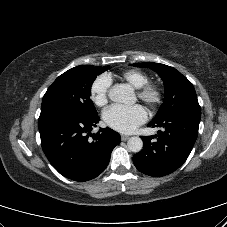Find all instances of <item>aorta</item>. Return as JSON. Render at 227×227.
Segmentation results:
<instances>
[{
    "label": "aorta",
    "instance_id": "762f6f07",
    "mask_svg": "<svg viewBox=\"0 0 227 227\" xmlns=\"http://www.w3.org/2000/svg\"><path fill=\"white\" fill-rule=\"evenodd\" d=\"M132 96V89L125 84H116L108 92V97L114 102L126 103ZM128 149L134 153L140 152L143 141L139 137H131L128 142Z\"/></svg>",
    "mask_w": 227,
    "mask_h": 227
}]
</instances>
